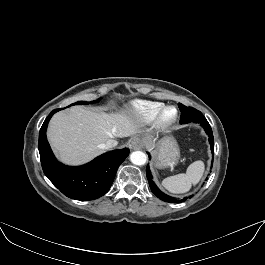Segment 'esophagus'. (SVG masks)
<instances>
[{
    "instance_id": "esophagus-1",
    "label": "esophagus",
    "mask_w": 265,
    "mask_h": 265,
    "mask_svg": "<svg viewBox=\"0 0 265 265\" xmlns=\"http://www.w3.org/2000/svg\"><path fill=\"white\" fill-rule=\"evenodd\" d=\"M144 145V142L141 138L139 137H133L131 140H130V143H129V146L130 148L132 149H140L141 147H143Z\"/></svg>"
}]
</instances>
